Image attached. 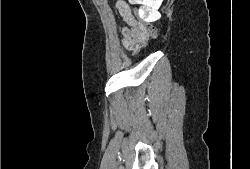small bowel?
<instances>
[{"label":"small bowel","instance_id":"1","mask_svg":"<svg viewBox=\"0 0 250 169\" xmlns=\"http://www.w3.org/2000/svg\"><path fill=\"white\" fill-rule=\"evenodd\" d=\"M120 13L123 15L125 21L130 25L131 27V31L129 33V36L127 37V41H126V48L130 51L136 52L138 51L141 46L144 43H138L135 40V37L139 36V30L142 27V25H140L133 17L132 15H127L125 13H123L120 9Z\"/></svg>","mask_w":250,"mask_h":169}]
</instances>
